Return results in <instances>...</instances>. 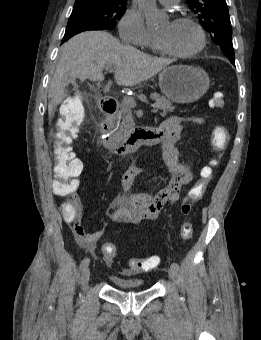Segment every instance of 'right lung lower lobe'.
Wrapping results in <instances>:
<instances>
[{
	"label": "right lung lower lobe",
	"instance_id": "right-lung-lower-lobe-1",
	"mask_svg": "<svg viewBox=\"0 0 261 340\" xmlns=\"http://www.w3.org/2000/svg\"><path fill=\"white\" fill-rule=\"evenodd\" d=\"M87 30H101V29L93 24L85 23V22H74V23L68 24L64 37L62 39V43L67 41L72 36L80 32L87 31Z\"/></svg>",
	"mask_w": 261,
	"mask_h": 340
}]
</instances>
